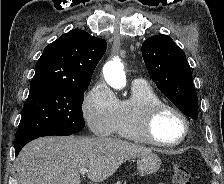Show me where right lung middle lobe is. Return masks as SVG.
Wrapping results in <instances>:
<instances>
[{"label":"right lung middle lobe","instance_id":"dd1d6c3e","mask_svg":"<svg viewBox=\"0 0 224 184\" xmlns=\"http://www.w3.org/2000/svg\"><path fill=\"white\" fill-rule=\"evenodd\" d=\"M88 85L30 88L15 135V145L47 132L77 133L84 126L82 103Z\"/></svg>","mask_w":224,"mask_h":184}]
</instances>
